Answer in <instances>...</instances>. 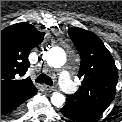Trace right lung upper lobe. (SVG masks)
<instances>
[{"mask_svg": "<svg viewBox=\"0 0 122 122\" xmlns=\"http://www.w3.org/2000/svg\"><path fill=\"white\" fill-rule=\"evenodd\" d=\"M45 33L33 25L17 23L1 31V95L27 96L37 89L30 78L19 80L30 66V51L40 44Z\"/></svg>", "mask_w": 122, "mask_h": 122, "instance_id": "right-lung-upper-lobe-1", "label": "right lung upper lobe"}]
</instances>
